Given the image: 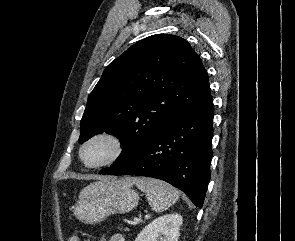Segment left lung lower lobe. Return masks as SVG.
Returning <instances> with one entry per match:
<instances>
[{
	"label": "left lung lower lobe",
	"instance_id": "obj_1",
	"mask_svg": "<svg viewBox=\"0 0 295 241\" xmlns=\"http://www.w3.org/2000/svg\"><path fill=\"white\" fill-rule=\"evenodd\" d=\"M213 117L214 105L209 94L168 122L126 163L100 172L164 180L201 208L211 176Z\"/></svg>",
	"mask_w": 295,
	"mask_h": 241
}]
</instances>
